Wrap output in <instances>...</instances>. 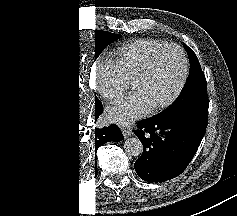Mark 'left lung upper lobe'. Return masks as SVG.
<instances>
[{
    "label": "left lung upper lobe",
    "instance_id": "1",
    "mask_svg": "<svg viewBox=\"0 0 237 216\" xmlns=\"http://www.w3.org/2000/svg\"><path fill=\"white\" fill-rule=\"evenodd\" d=\"M183 45L190 60L189 76L177 100L157 116L181 120L193 127L205 129L209 107L206 78L193 50L185 43Z\"/></svg>",
    "mask_w": 237,
    "mask_h": 216
}]
</instances>
